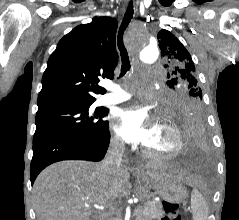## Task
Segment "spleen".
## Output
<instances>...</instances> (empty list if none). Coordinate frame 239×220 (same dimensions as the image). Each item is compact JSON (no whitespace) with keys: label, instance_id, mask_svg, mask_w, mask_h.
<instances>
[{"label":"spleen","instance_id":"obj_1","mask_svg":"<svg viewBox=\"0 0 239 220\" xmlns=\"http://www.w3.org/2000/svg\"><path fill=\"white\" fill-rule=\"evenodd\" d=\"M191 209L193 220H206L208 206L203 195L197 189H194L191 194Z\"/></svg>","mask_w":239,"mask_h":220}]
</instances>
